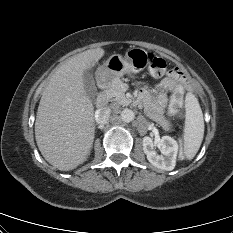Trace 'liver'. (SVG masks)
Wrapping results in <instances>:
<instances>
[{
    "label": "liver",
    "instance_id": "1",
    "mask_svg": "<svg viewBox=\"0 0 233 233\" xmlns=\"http://www.w3.org/2000/svg\"><path fill=\"white\" fill-rule=\"evenodd\" d=\"M84 51L61 65L45 87L35 121L37 146L47 162L69 171L87 160L94 141V107L84 90L83 73L104 56Z\"/></svg>",
    "mask_w": 233,
    "mask_h": 233
}]
</instances>
